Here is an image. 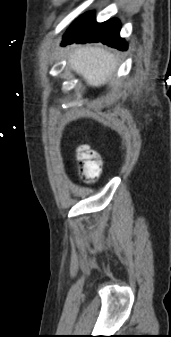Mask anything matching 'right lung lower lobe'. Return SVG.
Instances as JSON below:
<instances>
[{
	"mask_svg": "<svg viewBox=\"0 0 171 337\" xmlns=\"http://www.w3.org/2000/svg\"><path fill=\"white\" fill-rule=\"evenodd\" d=\"M120 22L108 20L97 23L92 12L86 13L77 19L64 35L62 46L86 42H102L119 50L127 49V44L119 36Z\"/></svg>",
	"mask_w": 171,
	"mask_h": 337,
	"instance_id": "98d812e1",
	"label": "right lung lower lobe"
}]
</instances>
